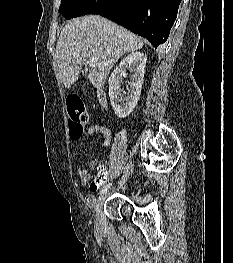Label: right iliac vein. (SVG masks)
Masks as SVG:
<instances>
[{"label":"right iliac vein","mask_w":233,"mask_h":263,"mask_svg":"<svg viewBox=\"0 0 233 263\" xmlns=\"http://www.w3.org/2000/svg\"><path fill=\"white\" fill-rule=\"evenodd\" d=\"M132 167H133L132 162L127 164L125 171H124V174H123V177L119 181L120 186L128 179V177L132 171ZM106 197H107V192H104L103 194H101L99 196L97 203H96V206H95V222L97 225H100L102 222V206H103V203H104Z\"/></svg>","instance_id":"1"}]
</instances>
